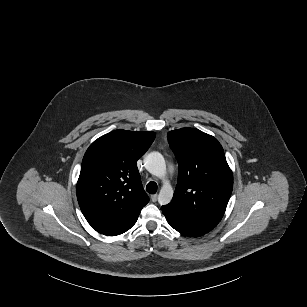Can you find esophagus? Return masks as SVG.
<instances>
[{"label": "esophagus", "instance_id": "1", "mask_svg": "<svg viewBox=\"0 0 307 307\" xmlns=\"http://www.w3.org/2000/svg\"><path fill=\"white\" fill-rule=\"evenodd\" d=\"M150 198H151L152 202H156L157 201V194H152L150 196Z\"/></svg>", "mask_w": 307, "mask_h": 307}]
</instances>
